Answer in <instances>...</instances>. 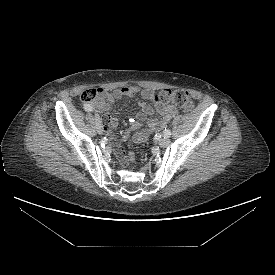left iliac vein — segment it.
<instances>
[{"label":"left iliac vein","instance_id":"obj_1","mask_svg":"<svg viewBox=\"0 0 275 275\" xmlns=\"http://www.w3.org/2000/svg\"><path fill=\"white\" fill-rule=\"evenodd\" d=\"M170 144V139H168L167 137L161 138L159 140V145L161 147H167Z\"/></svg>","mask_w":275,"mask_h":275}]
</instances>
